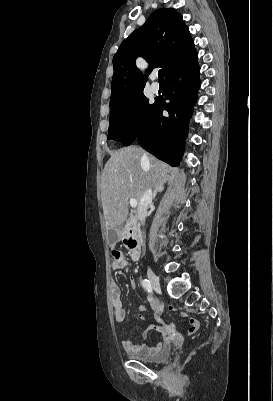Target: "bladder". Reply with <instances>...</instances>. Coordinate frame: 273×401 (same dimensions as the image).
Masks as SVG:
<instances>
[{"instance_id":"bladder-1","label":"bladder","mask_w":273,"mask_h":401,"mask_svg":"<svg viewBox=\"0 0 273 401\" xmlns=\"http://www.w3.org/2000/svg\"><path fill=\"white\" fill-rule=\"evenodd\" d=\"M171 355H172L171 343H165L160 353L153 358L132 356V359L135 361H139L141 363L154 365L168 361L171 358Z\"/></svg>"}]
</instances>
